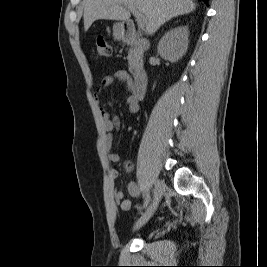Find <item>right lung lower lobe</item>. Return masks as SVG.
Returning <instances> with one entry per match:
<instances>
[{
  "instance_id": "98d812e1",
  "label": "right lung lower lobe",
  "mask_w": 267,
  "mask_h": 267,
  "mask_svg": "<svg viewBox=\"0 0 267 267\" xmlns=\"http://www.w3.org/2000/svg\"><path fill=\"white\" fill-rule=\"evenodd\" d=\"M205 2V4H208V0H203Z\"/></svg>"
}]
</instances>
